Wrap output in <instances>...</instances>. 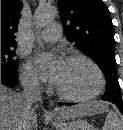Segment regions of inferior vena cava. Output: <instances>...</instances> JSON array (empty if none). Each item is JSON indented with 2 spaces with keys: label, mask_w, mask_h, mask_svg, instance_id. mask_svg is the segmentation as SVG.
Returning <instances> with one entry per match:
<instances>
[{
  "label": "inferior vena cava",
  "mask_w": 123,
  "mask_h": 130,
  "mask_svg": "<svg viewBox=\"0 0 123 130\" xmlns=\"http://www.w3.org/2000/svg\"><path fill=\"white\" fill-rule=\"evenodd\" d=\"M23 92L22 96L25 100V111L28 112L30 107L42 101V91L39 83L35 80H24L22 82ZM26 121L24 122L23 130H27Z\"/></svg>",
  "instance_id": "1"
}]
</instances>
